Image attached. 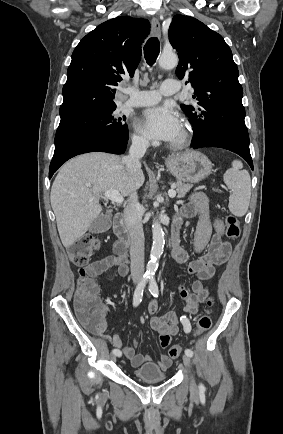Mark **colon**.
I'll list each match as a JSON object with an SVG mask.
<instances>
[{"instance_id": "colon-1", "label": "colon", "mask_w": 283, "mask_h": 434, "mask_svg": "<svg viewBox=\"0 0 283 434\" xmlns=\"http://www.w3.org/2000/svg\"><path fill=\"white\" fill-rule=\"evenodd\" d=\"M226 234L229 238H237L241 233L239 220L230 215L225 221ZM99 247V241L91 236L85 235L75 241L70 249V260L74 265L79 267L77 290L75 297V310L79 320L91 332H100L103 326L104 314L102 305L99 300V287L94 280V277L86 269V265L93 257ZM212 299L207 301V306L210 308ZM212 324L210 311L207 309L199 318L196 324L195 335H200L207 331ZM181 347L174 345L168 355L171 358H177L181 354Z\"/></svg>"}]
</instances>
